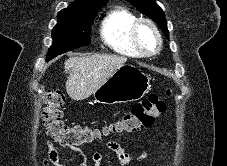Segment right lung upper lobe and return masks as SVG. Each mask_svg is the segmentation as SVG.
Returning a JSON list of instances; mask_svg holds the SVG:
<instances>
[{"mask_svg":"<svg viewBox=\"0 0 227 166\" xmlns=\"http://www.w3.org/2000/svg\"><path fill=\"white\" fill-rule=\"evenodd\" d=\"M108 0H79L68 8L61 10L58 14H72L83 12L88 9L97 8L100 5L106 4Z\"/></svg>","mask_w":227,"mask_h":166,"instance_id":"1","label":"right lung upper lobe"}]
</instances>
